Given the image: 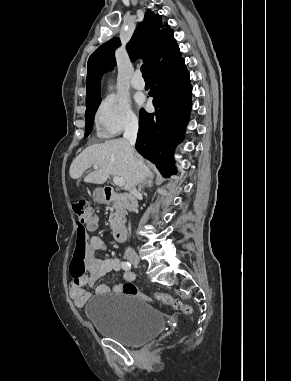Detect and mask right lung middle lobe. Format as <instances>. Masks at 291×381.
<instances>
[{
	"mask_svg": "<svg viewBox=\"0 0 291 381\" xmlns=\"http://www.w3.org/2000/svg\"><path fill=\"white\" fill-rule=\"evenodd\" d=\"M100 102H101V98H98L94 100L93 102L86 104L87 109L85 112V117H86L85 137H87L92 130L94 115Z\"/></svg>",
	"mask_w": 291,
	"mask_h": 381,
	"instance_id": "1",
	"label": "right lung middle lobe"
}]
</instances>
